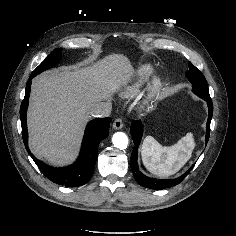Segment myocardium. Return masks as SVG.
Instances as JSON below:
<instances>
[{
	"mask_svg": "<svg viewBox=\"0 0 236 236\" xmlns=\"http://www.w3.org/2000/svg\"><path fill=\"white\" fill-rule=\"evenodd\" d=\"M161 85H162V82H161V78L159 77H156L152 81L150 89H149V94H148L149 99H153L158 95L161 89Z\"/></svg>",
	"mask_w": 236,
	"mask_h": 236,
	"instance_id": "myocardium-1",
	"label": "myocardium"
}]
</instances>
